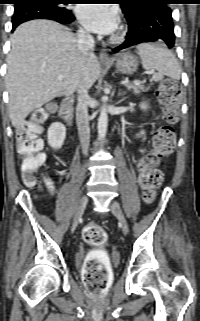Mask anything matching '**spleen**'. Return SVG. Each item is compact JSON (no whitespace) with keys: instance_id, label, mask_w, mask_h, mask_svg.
Returning <instances> with one entry per match:
<instances>
[{"instance_id":"spleen-1","label":"spleen","mask_w":200,"mask_h":321,"mask_svg":"<svg viewBox=\"0 0 200 321\" xmlns=\"http://www.w3.org/2000/svg\"><path fill=\"white\" fill-rule=\"evenodd\" d=\"M145 70H157L155 80H160L164 75L179 80L181 68L175 55L164 45L157 43H141L136 46Z\"/></svg>"}]
</instances>
